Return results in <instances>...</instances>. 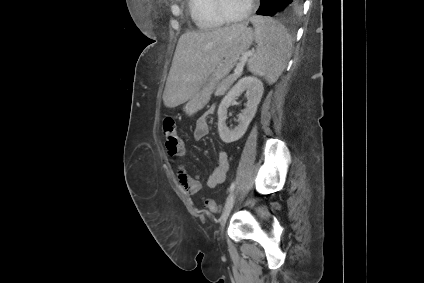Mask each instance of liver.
<instances>
[{
	"mask_svg": "<svg viewBox=\"0 0 424 283\" xmlns=\"http://www.w3.org/2000/svg\"><path fill=\"white\" fill-rule=\"evenodd\" d=\"M247 23L205 31H187L178 41L163 93L164 105L174 108L200 89Z\"/></svg>",
	"mask_w": 424,
	"mask_h": 283,
	"instance_id": "6515ba94",
	"label": "liver"
}]
</instances>
